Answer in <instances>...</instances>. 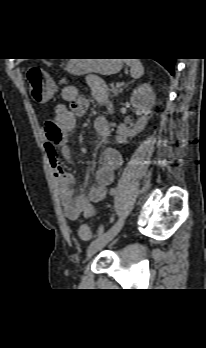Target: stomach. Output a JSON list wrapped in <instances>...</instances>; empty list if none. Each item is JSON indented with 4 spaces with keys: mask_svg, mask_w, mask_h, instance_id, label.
<instances>
[{
    "mask_svg": "<svg viewBox=\"0 0 206 348\" xmlns=\"http://www.w3.org/2000/svg\"><path fill=\"white\" fill-rule=\"evenodd\" d=\"M122 68L120 59H70L66 70L73 75H84L87 73H99L111 75ZM45 101V98L42 99Z\"/></svg>",
    "mask_w": 206,
    "mask_h": 348,
    "instance_id": "obj_1",
    "label": "stomach"
}]
</instances>
